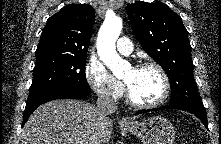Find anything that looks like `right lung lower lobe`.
I'll return each instance as SVG.
<instances>
[{
	"instance_id": "right-lung-lower-lobe-1",
	"label": "right lung lower lobe",
	"mask_w": 221,
	"mask_h": 144,
	"mask_svg": "<svg viewBox=\"0 0 221 144\" xmlns=\"http://www.w3.org/2000/svg\"><path fill=\"white\" fill-rule=\"evenodd\" d=\"M91 93L90 89H80V88H57L52 91H49L39 98L34 100L31 103L26 104L24 116H23V124L26 123L31 113L40 105L55 100V99H81L87 97Z\"/></svg>"
}]
</instances>
